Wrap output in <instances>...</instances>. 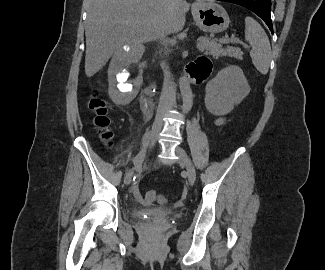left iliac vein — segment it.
Listing matches in <instances>:
<instances>
[{"instance_id":"obj_1","label":"left iliac vein","mask_w":325,"mask_h":270,"mask_svg":"<svg viewBox=\"0 0 325 270\" xmlns=\"http://www.w3.org/2000/svg\"><path fill=\"white\" fill-rule=\"evenodd\" d=\"M175 151H176V154L179 156L180 161H182L186 167L189 184L193 185L196 180V170H195V167L193 165L191 158L187 155L185 150L182 149L181 147H176Z\"/></svg>"}]
</instances>
